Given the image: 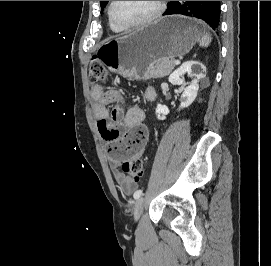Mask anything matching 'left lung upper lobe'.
<instances>
[{"mask_svg":"<svg viewBox=\"0 0 271 266\" xmlns=\"http://www.w3.org/2000/svg\"><path fill=\"white\" fill-rule=\"evenodd\" d=\"M108 3V1H100V5H101V12L103 11L105 5Z\"/></svg>","mask_w":271,"mask_h":266,"instance_id":"obj_1","label":"left lung upper lobe"}]
</instances>
